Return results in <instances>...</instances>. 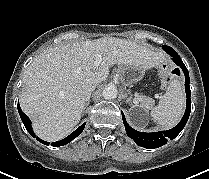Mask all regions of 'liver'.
I'll use <instances>...</instances> for the list:
<instances>
[{
    "label": "liver",
    "mask_w": 209,
    "mask_h": 179,
    "mask_svg": "<svg viewBox=\"0 0 209 179\" xmlns=\"http://www.w3.org/2000/svg\"><path fill=\"white\" fill-rule=\"evenodd\" d=\"M97 55L102 62L95 67ZM163 60L161 51L114 37L50 47L26 69L20 106L40 138L57 141L79 123L86 89L105 81L111 66L135 65L147 70Z\"/></svg>",
    "instance_id": "6515ba94"
}]
</instances>
